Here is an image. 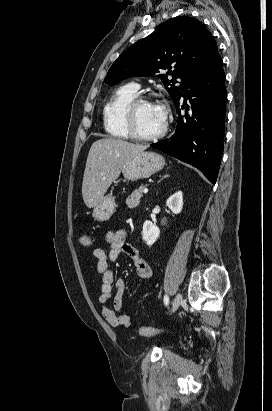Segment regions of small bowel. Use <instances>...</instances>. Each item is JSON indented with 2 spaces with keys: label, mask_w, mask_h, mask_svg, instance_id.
Returning <instances> with one entry per match:
<instances>
[{
  "label": "small bowel",
  "mask_w": 272,
  "mask_h": 411,
  "mask_svg": "<svg viewBox=\"0 0 272 411\" xmlns=\"http://www.w3.org/2000/svg\"><path fill=\"white\" fill-rule=\"evenodd\" d=\"M127 231L125 229L110 231L106 234L108 242L107 251L103 248L93 250V257L97 264V271L101 277L100 295L98 302L103 319L112 327L128 328L133 320L122 303V293L125 289L123 280H115L110 264L119 254L124 253L133 260L137 275L143 280H149L153 276L150 263L140 256L139 251L126 242ZM115 293L113 308L108 305V300Z\"/></svg>",
  "instance_id": "c3829d8e"
}]
</instances>
